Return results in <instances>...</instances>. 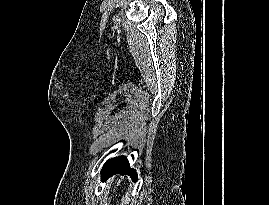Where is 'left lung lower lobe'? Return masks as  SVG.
Here are the masks:
<instances>
[{
	"label": "left lung lower lobe",
	"mask_w": 269,
	"mask_h": 205,
	"mask_svg": "<svg viewBox=\"0 0 269 205\" xmlns=\"http://www.w3.org/2000/svg\"><path fill=\"white\" fill-rule=\"evenodd\" d=\"M115 174H128L133 180L136 181L137 174L134 169H131L129 162L125 156H118L108 160L101 171L102 180H106L109 176Z\"/></svg>",
	"instance_id": "obj_1"
}]
</instances>
